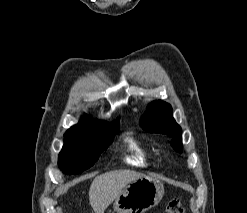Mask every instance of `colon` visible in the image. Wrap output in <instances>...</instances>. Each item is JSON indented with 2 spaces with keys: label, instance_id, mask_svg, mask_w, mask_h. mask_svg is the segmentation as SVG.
Returning a JSON list of instances; mask_svg holds the SVG:
<instances>
[{
  "label": "colon",
  "instance_id": "obj_1",
  "mask_svg": "<svg viewBox=\"0 0 247 213\" xmlns=\"http://www.w3.org/2000/svg\"><path fill=\"white\" fill-rule=\"evenodd\" d=\"M164 213H184V207L180 200L172 199L168 202Z\"/></svg>",
  "mask_w": 247,
  "mask_h": 213
}]
</instances>
